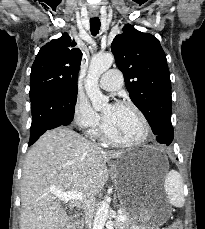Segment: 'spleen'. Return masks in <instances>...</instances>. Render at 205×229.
Here are the masks:
<instances>
[{
	"mask_svg": "<svg viewBox=\"0 0 205 229\" xmlns=\"http://www.w3.org/2000/svg\"><path fill=\"white\" fill-rule=\"evenodd\" d=\"M164 188L172 206H184L183 179L179 172L171 170L166 174Z\"/></svg>",
	"mask_w": 205,
	"mask_h": 229,
	"instance_id": "3e777b00",
	"label": "spleen"
}]
</instances>
